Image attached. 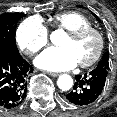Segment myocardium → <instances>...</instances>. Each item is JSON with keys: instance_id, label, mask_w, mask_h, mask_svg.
<instances>
[{"instance_id": "f54148a6", "label": "myocardium", "mask_w": 117, "mask_h": 117, "mask_svg": "<svg viewBox=\"0 0 117 117\" xmlns=\"http://www.w3.org/2000/svg\"><path fill=\"white\" fill-rule=\"evenodd\" d=\"M89 33H93L97 37L98 45H97L95 53L92 55L91 58H89L88 60L79 62V66L82 68H87V67L94 65L101 58L102 53L104 51V47H105L104 35L99 29L93 26L81 27V28L67 32V35L74 39L81 38L84 35L89 34Z\"/></svg>"}]
</instances>
